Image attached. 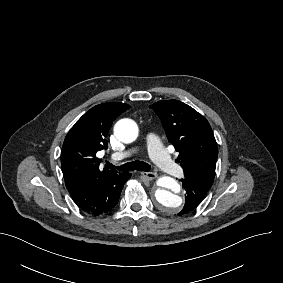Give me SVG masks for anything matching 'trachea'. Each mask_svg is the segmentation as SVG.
Listing matches in <instances>:
<instances>
[{
  "instance_id": "trachea-1",
  "label": "trachea",
  "mask_w": 283,
  "mask_h": 283,
  "mask_svg": "<svg viewBox=\"0 0 283 283\" xmlns=\"http://www.w3.org/2000/svg\"><path fill=\"white\" fill-rule=\"evenodd\" d=\"M106 167L110 169H117L120 171H134V170L145 171V172L151 171V166L149 164H147L144 161H138V160L134 162H127L120 166H114L111 163H107Z\"/></svg>"
}]
</instances>
